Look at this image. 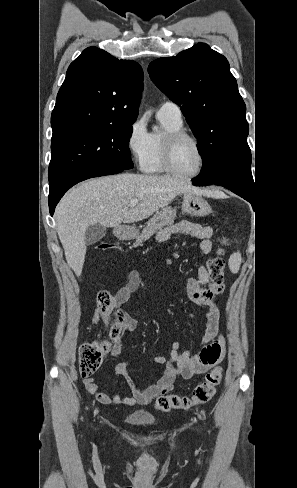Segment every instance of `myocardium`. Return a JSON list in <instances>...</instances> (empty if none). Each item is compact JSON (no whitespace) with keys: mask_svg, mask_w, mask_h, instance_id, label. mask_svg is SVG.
<instances>
[{"mask_svg":"<svg viewBox=\"0 0 297 488\" xmlns=\"http://www.w3.org/2000/svg\"><path fill=\"white\" fill-rule=\"evenodd\" d=\"M183 140H189L193 142L199 152L200 157L197 169L189 174L180 173L176 170L173 164L174 150L176 146ZM161 161L165 171L169 174L182 179H191L198 176L203 171L206 163V152L201 142L195 136L189 134L186 131L180 130L168 133L164 136L162 141Z\"/></svg>","mask_w":297,"mask_h":488,"instance_id":"obj_1","label":"myocardium"}]
</instances>
